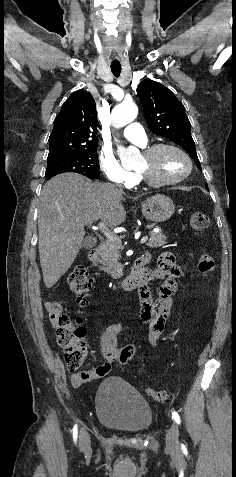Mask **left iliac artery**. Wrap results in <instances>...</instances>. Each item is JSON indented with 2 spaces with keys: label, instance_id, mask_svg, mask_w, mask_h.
<instances>
[{
  "label": "left iliac artery",
  "instance_id": "44dca946",
  "mask_svg": "<svg viewBox=\"0 0 236 477\" xmlns=\"http://www.w3.org/2000/svg\"><path fill=\"white\" fill-rule=\"evenodd\" d=\"M172 417H173V419L175 420V422H176L177 424H180L181 420H180V416H179V414H178L177 412L173 411V412H172Z\"/></svg>",
  "mask_w": 236,
  "mask_h": 477
}]
</instances>
